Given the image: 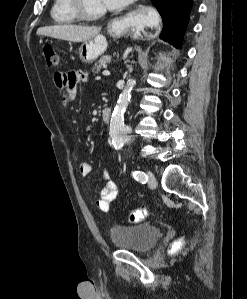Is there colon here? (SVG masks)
Segmentation results:
<instances>
[{
  "mask_svg": "<svg viewBox=\"0 0 247 299\" xmlns=\"http://www.w3.org/2000/svg\"><path fill=\"white\" fill-rule=\"evenodd\" d=\"M43 53L47 66L56 67L59 62L58 54L52 45L46 44L43 48ZM148 212L144 208L136 209L128 214L127 219L130 223H138L145 219ZM182 245L180 240L176 241L172 246V251H177Z\"/></svg>",
  "mask_w": 247,
  "mask_h": 299,
  "instance_id": "1",
  "label": "colon"
}]
</instances>
